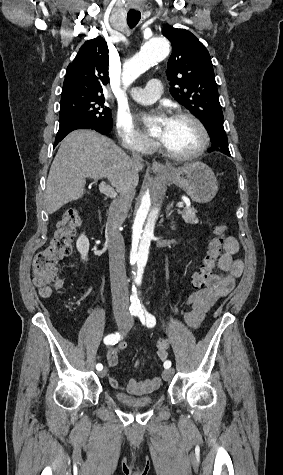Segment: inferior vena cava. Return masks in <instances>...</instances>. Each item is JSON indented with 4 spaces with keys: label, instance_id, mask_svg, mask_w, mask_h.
Here are the masks:
<instances>
[{
    "label": "inferior vena cava",
    "instance_id": "obj_1",
    "mask_svg": "<svg viewBox=\"0 0 283 475\" xmlns=\"http://www.w3.org/2000/svg\"><path fill=\"white\" fill-rule=\"evenodd\" d=\"M133 160H141L140 154L133 152ZM133 194H120L119 200H114L109 208L106 224V241L109 251L110 281L113 301V311L128 313V279L125 269V245L120 228L129 212Z\"/></svg>",
    "mask_w": 283,
    "mask_h": 475
}]
</instances>
